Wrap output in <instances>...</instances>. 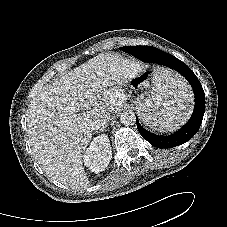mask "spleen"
<instances>
[{"label":"spleen","mask_w":227,"mask_h":227,"mask_svg":"<svg viewBox=\"0 0 227 227\" xmlns=\"http://www.w3.org/2000/svg\"><path fill=\"white\" fill-rule=\"evenodd\" d=\"M187 83L173 72L157 68L151 95L138 108L143 122L158 130L173 131L191 114Z\"/></svg>","instance_id":"1"}]
</instances>
